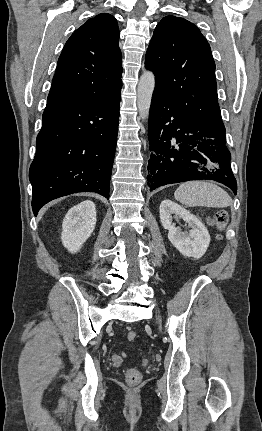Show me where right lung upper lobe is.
<instances>
[{
  "label": "right lung upper lobe",
  "instance_id": "1",
  "mask_svg": "<svg viewBox=\"0 0 262 431\" xmlns=\"http://www.w3.org/2000/svg\"><path fill=\"white\" fill-rule=\"evenodd\" d=\"M116 19L97 15L79 27L58 59L48 104L108 101L122 87V56Z\"/></svg>",
  "mask_w": 262,
  "mask_h": 431
}]
</instances>
